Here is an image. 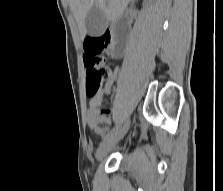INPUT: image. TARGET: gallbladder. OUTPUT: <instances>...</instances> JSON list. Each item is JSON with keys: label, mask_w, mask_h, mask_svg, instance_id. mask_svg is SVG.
<instances>
[{"label": "gallbladder", "mask_w": 223, "mask_h": 191, "mask_svg": "<svg viewBox=\"0 0 223 191\" xmlns=\"http://www.w3.org/2000/svg\"><path fill=\"white\" fill-rule=\"evenodd\" d=\"M108 22L106 15L97 7H93L86 16L85 27L87 34L92 37L100 36Z\"/></svg>", "instance_id": "1"}]
</instances>
